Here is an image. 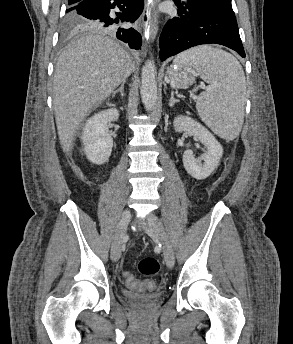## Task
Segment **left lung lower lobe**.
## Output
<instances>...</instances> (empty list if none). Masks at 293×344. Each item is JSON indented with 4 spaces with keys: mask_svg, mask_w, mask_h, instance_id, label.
<instances>
[{
    "mask_svg": "<svg viewBox=\"0 0 293 344\" xmlns=\"http://www.w3.org/2000/svg\"><path fill=\"white\" fill-rule=\"evenodd\" d=\"M176 5L179 17L168 21L160 37L161 61L190 47L212 43L229 47L245 58L238 27L197 0Z\"/></svg>",
    "mask_w": 293,
    "mask_h": 344,
    "instance_id": "left-lung-lower-lobe-1",
    "label": "left lung lower lobe"
}]
</instances>
